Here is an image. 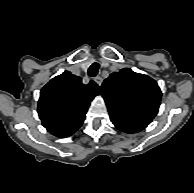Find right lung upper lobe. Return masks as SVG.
Masks as SVG:
<instances>
[{
  "label": "right lung upper lobe",
  "instance_id": "cb5924a9",
  "mask_svg": "<svg viewBox=\"0 0 194 193\" xmlns=\"http://www.w3.org/2000/svg\"><path fill=\"white\" fill-rule=\"evenodd\" d=\"M100 94V87L64 71L54 77L40 92L38 115L43 126L57 137H68L84 122L91 100Z\"/></svg>",
  "mask_w": 194,
  "mask_h": 193
}]
</instances>
